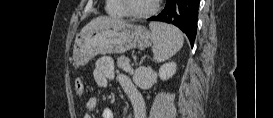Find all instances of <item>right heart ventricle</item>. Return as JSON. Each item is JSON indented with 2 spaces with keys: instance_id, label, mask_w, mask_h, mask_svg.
<instances>
[{
  "instance_id": "e07e8e85",
  "label": "right heart ventricle",
  "mask_w": 273,
  "mask_h": 118,
  "mask_svg": "<svg viewBox=\"0 0 273 118\" xmlns=\"http://www.w3.org/2000/svg\"><path fill=\"white\" fill-rule=\"evenodd\" d=\"M105 10L113 16H125L126 12L122 0H107Z\"/></svg>"
}]
</instances>
